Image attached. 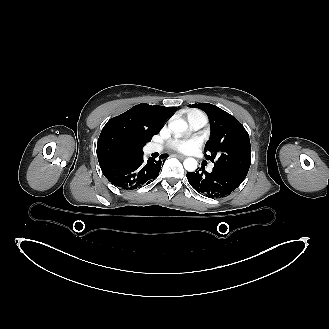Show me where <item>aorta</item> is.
Instances as JSON below:
<instances>
[{"label":"aorta","instance_id":"obj_1","mask_svg":"<svg viewBox=\"0 0 329 329\" xmlns=\"http://www.w3.org/2000/svg\"><path fill=\"white\" fill-rule=\"evenodd\" d=\"M168 127L174 133H182L187 130L186 121L179 119L169 122ZM197 161L194 158H186L183 162L184 168L188 172H193L197 169Z\"/></svg>","mask_w":329,"mask_h":329}]
</instances>
